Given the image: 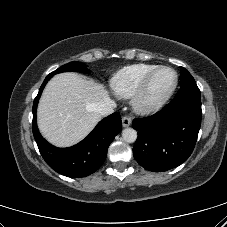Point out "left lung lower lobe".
<instances>
[{
	"label": "left lung lower lobe",
	"instance_id": "left-lung-lower-lobe-1",
	"mask_svg": "<svg viewBox=\"0 0 227 227\" xmlns=\"http://www.w3.org/2000/svg\"><path fill=\"white\" fill-rule=\"evenodd\" d=\"M200 90L196 82L180 86L161 111L133 120L138 131L133 155L145 169L163 172L186 161L196 144L201 125Z\"/></svg>",
	"mask_w": 227,
	"mask_h": 227
}]
</instances>
